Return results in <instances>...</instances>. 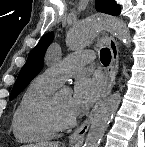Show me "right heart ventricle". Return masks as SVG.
<instances>
[{
    "mask_svg": "<svg viewBox=\"0 0 145 147\" xmlns=\"http://www.w3.org/2000/svg\"><path fill=\"white\" fill-rule=\"evenodd\" d=\"M58 83L44 73L36 76L23 92L13 117V132L23 142L54 138L61 127L50 111V101Z\"/></svg>",
    "mask_w": 145,
    "mask_h": 147,
    "instance_id": "right-heart-ventricle-1",
    "label": "right heart ventricle"
}]
</instances>
